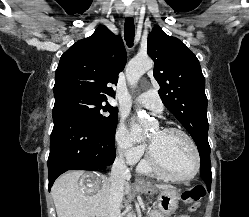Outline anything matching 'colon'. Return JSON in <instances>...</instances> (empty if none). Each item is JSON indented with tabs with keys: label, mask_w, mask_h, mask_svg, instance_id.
<instances>
[{
	"label": "colon",
	"mask_w": 249,
	"mask_h": 217,
	"mask_svg": "<svg viewBox=\"0 0 249 217\" xmlns=\"http://www.w3.org/2000/svg\"><path fill=\"white\" fill-rule=\"evenodd\" d=\"M205 195V190L201 186L186 189L182 198L188 204L189 211L195 212L199 208V201Z\"/></svg>",
	"instance_id": "colon-1"
}]
</instances>
